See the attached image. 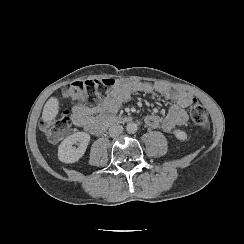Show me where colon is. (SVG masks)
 <instances>
[{
	"label": "colon",
	"instance_id": "5ec220e1",
	"mask_svg": "<svg viewBox=\"0 0 244 244\" xmlns=\"http://www.w3.org/2000/svg\"><path fill=\"white\" fill-rule=\"evenodd\" d=\"M86 88V102L89 104L96 103L100 94H103L106 88L112 87L115 84L113 78H105L95 81L75 82L67 85L64 92L69 95L74 101H83L85 98L82 95V87ZM190 119L193 125L198 128H206L209 125L207 111L203 105L197 101L191 104ZM70 116L66 113L54 115L51 118L43 119L41 129L49 141H58L69 135L71 131Z\"/></svg>",
	"mask_w": 244,
	"mask_h": 244
}]
</instances>
